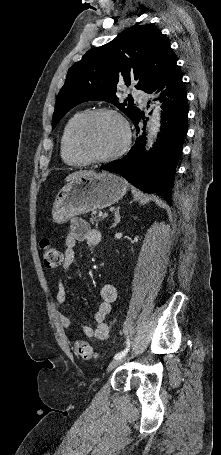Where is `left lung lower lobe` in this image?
I'll use <instances>...</instances> for the list:
<instances>
[{"instance_id": "left-lung-lower-lobe-1", "label": "left lung lower lobe", "mask_w": 221, "mask_h": 455, "mask_svg": "<svg viewBox=\"0 0 221 455\" xmlns=\"http://www.w3.org/2000/svg\"><path fill=\"white\" fill-rule=\"evenodd\" d=\"M154 88L161 91V128L157 143L150 152H144L145 128L139 132L140 113L132 120L138 135L129 153L116 161L101 166L102 169L123 176L140 190L156 193L171 205V191L178 160L187 134V93L182 81V72L175 64ZM153 87L146 93H151ZM145 123V122H144Z\"/></svg>"}]
</instances>
